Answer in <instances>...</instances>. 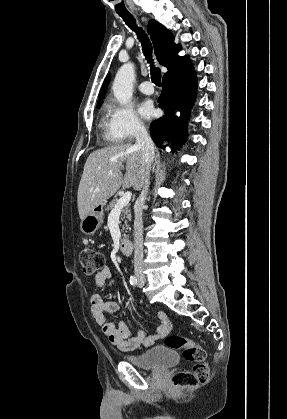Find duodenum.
I'll return each instance as SVG.
<instances>
[{
	"mask_svg": "<svg viewBox=\"0 0 287 419\" xmlns=\"http://www.w3.org/2000/svg\"><path fill=\"white\" fill-rule=\"evenodd\" d=\"M120 250L124 255H131L133 251L132 241L128 237H122L120 240Z\"/></svg>",
	"mask_w": 287,
	"mask_h": 419,
	"instance_id": "1",
	"label": "duodenum"
}]
</instances>
